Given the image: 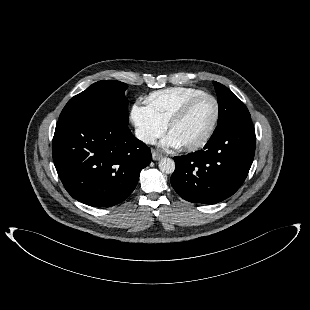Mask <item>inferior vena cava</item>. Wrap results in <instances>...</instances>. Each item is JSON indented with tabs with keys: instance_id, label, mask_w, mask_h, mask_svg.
Returning <instances> with one entry per match:
<instances>
[{
	"instance_id": "1",
	"label": "inferior vena cava",
	"mask_w": 310,
	"mask_h": 310,
	"mask_svg": "<svg viewBox=\"0 0 310 310\" xmlns=\"http://www.w3.org/2000/svg\"><path fill=\"white\" fill-rule=\"evenodd\" d=\"M135 136L144 143L152 145L156 143L157 139L154 134H151L139 128L135 130Z\"/></svg>"
}]
</instances>
